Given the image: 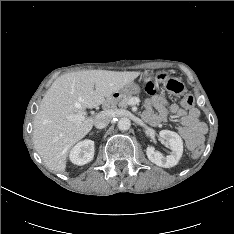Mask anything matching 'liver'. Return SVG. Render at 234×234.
I'll return each mask as SVG.
<instances>
[{"label":"liver","mask_w":234,"mask_h":234,"mask_svg":"<svg viewBox=\"0 0 234 234\" xmlns=\"http://www.w3.org/2000/svg\"><path fill=\"white\" fill-rule=\"evenodd\" d=\"M137 71L84 70L58 77L44 95L33 122V143L46 166L64 172L69 149L92 129L94 118L80 124L67 118L101 105L127 83Z\"/></svg>","instance_id":"liver-1"}]
</instances>
